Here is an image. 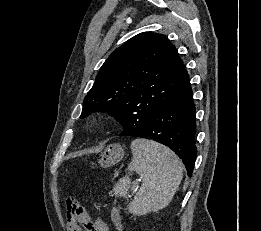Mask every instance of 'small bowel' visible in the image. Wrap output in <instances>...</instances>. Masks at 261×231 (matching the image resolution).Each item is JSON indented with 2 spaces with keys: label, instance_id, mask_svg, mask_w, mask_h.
Returning <instances> with one entry per match:
<instances>
[{
  "label": "small bowel",
  "instance_id": "small-bowel-1",
  "mask_svg": "<svg viewBox=\"0 0 261 231\" xmlns=\"http://www.w3.org/2000/svg\"><path fill=\"white\" fill-rule=\"evenodd\" d=\"M87 215L89 216L88 213ZM92 222L95 227V231H109L106 222L103 220L101 216H98ZM66 231H84V230L79 224L66 221Z\"/></svg>",
  "mask_w": 261,
  "mask_h": 231
}]
</instances>
